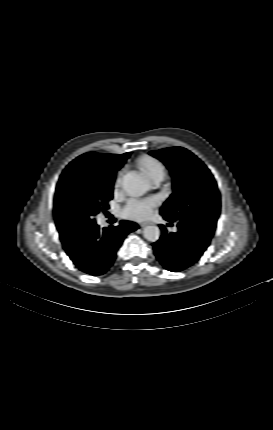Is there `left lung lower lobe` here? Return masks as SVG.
I'll list each match as a JSON object with an SVG mask.
<instances>
[{
    "label": "left lung lower lobe",
    "mask_w": 273,
    "mask_h": 430,
    "mask_svg": "<svg viewBox=\"0 0 273 430\" xmlns=\"http://www.w3.org/2000/svg\"><path fill=\"white\" fill-rule=\"evenodd\" d=\"M198 215L200 219L213 220L215 212L203 206ZM162 216L165 220L174 222L171 218ZM177 227L176 233H168L166 228L160 225L162 235L157 242L153 243L157 259L172 272L182 271L197 262L210 243L208 237L199 234L192 226L177 222Z\"/></svg>",
    "instance_id": "left-lung-lower-lobe-1"
}]
</instances>
